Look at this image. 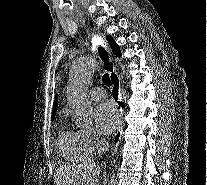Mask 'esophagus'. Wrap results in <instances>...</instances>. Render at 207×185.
<instances>
[{
  "label": "esophagus",
  "mask_w": 207,
  "mask_h": 185,
  "mask_svg": "<svg viewBox=\"0 0 207 185\" xmlns=\"http://www.w3.org/2000/svg\"><path fill=\"white\" fill-rule=\"evenodd\" d=\"M97 48H106V43H97ZM99 55H102L101 61H103L104 72L109 73V77L112 83L111 96L117 106V129L111 145V153L113 154L117 150L121 140V136L123 135V132L121 131L122 115H125V111H127V106H122L120 78L115 69L114 62H112L110 50H99Z\"/></svg>",
  "instance_id": "34e87169"
}]
</instances>
